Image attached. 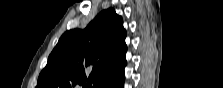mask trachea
Returning a JSON list of instances; mask_svg holds the SVG:
<instances>
[{
  "label": "trachea",
  "instance_id": "obj_1",
  "mask_svg": "<svg viewBox=\"0 0 223 88\" xmlns=\"http://www.w3.org/2000/svg\"><path fill=\"white\" fill-rule=\"evenodd\" d=\"M88 87H91V83H90V84H88Z\"/></svg>",
  "mask_w": 223,
  "mask_h": 88
}]
</instances>
